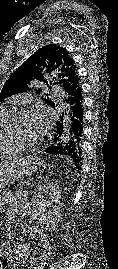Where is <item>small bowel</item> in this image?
Wrapping results in <instances>:
<instances>
[{"label": "small bowel", "mask_w": 118, "mask_h": 269, "mask_svg": "<svg viewBox=\"0 0 118 269\" xmlns=\"http://www.w3.org/2000/svg\"><path fill=\"white\" fill-rule=\"evenodd\" d=\"M21 200L17 199L16 197H12L9 200H5V220L7 225H9L14 218L16 217L19 209L21 208ZM31 237L45 245L47 243V237L43 234L39 229L34 228L31 233ZM30 254V245L27 243H22L18 247H11V246H0V256L3 257V266H0V269H5L8 267H12L15 264L19 263L20 261L27 260Z\"/></svg>", "instance_id": "small-bowel-1"}]
</instances>
